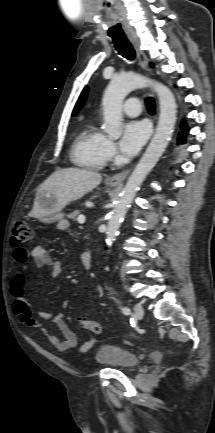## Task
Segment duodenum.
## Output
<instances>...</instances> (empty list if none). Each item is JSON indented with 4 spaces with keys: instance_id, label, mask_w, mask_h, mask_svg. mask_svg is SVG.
<instances>
[{
    "instance_id": "1",
    "label": "duodenum",
    "mask_w": 215,
    "mask_h": 433,
    "mask_svg": "<svg viewBox=\"0 0 215 433\" xmlns=\"http://www.w3.org/2000/svg\"><path fill=\"white\" fill-rule=\"evenodd\" d=\"M81 263L86 270L92 269V257L89 252H83L81 254Z\"/></svg>"
}]
</instances>
